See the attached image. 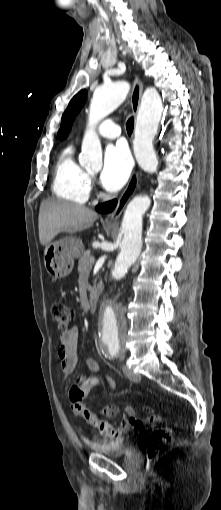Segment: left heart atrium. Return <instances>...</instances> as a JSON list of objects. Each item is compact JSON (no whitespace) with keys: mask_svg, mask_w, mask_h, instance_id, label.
I'll return each mask as SVG.
<instances>
[{"mask_svg":"<svg viewBox=\"0 0 221 510\" xmlns=\"http://www.w3.org/2000/svg\"><path fill=\"white\" fill-rule=\"evenodd\" d=\"M132 158L127 147L121 143L110 145L104 154L100 182L108 191L119 190L128 180Z\"/></svg>","mask_w":221,"mask_h":510,"instance_id":"obj_1","label":"left heart atrium"}]
</instances>
